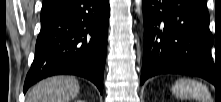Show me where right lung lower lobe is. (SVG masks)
Instances as JSON below:
<instances>
[{"instance_id": "obj_1", "label": "right lung lower lobe", "mask_w": 221, "mask_h": 102, "mask_svg": "<svg viewBox=\"0 0 221 102\" xmlns=\"http://www.w3.org/2000/svg\"><path fill=\"white\" fill-rule=\"evenodd\" d=\"M109 16V0H62L41 13L24 93L41 79L58 74L84 77L102 93Z\"/></svg>"}]
</instances>
